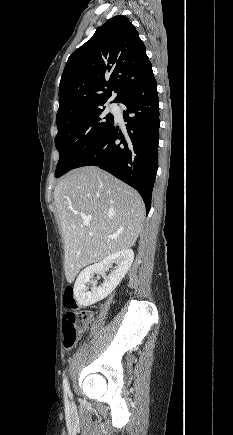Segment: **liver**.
Listing matches in <instances>:
<instances>
[{
	"label": "liver",
	"instance_id": "obj_1",
	"mask_svg": "<svg viewBox=\"0 0 233 435\" xmlns=\"http://www.w3.org/2000/svg\"><path fill=\"white\" fill-rule=\"evenodd\" d=\"M54 204L64 237L69 283L83 267L132 247L144 221L145 206L139 193L96 166L72 170L60 180ZM84 221L89 225L84 226Z\"/></svg>",
	"mask_w": 233,
	"mask_h": 435
}]
</instances>
